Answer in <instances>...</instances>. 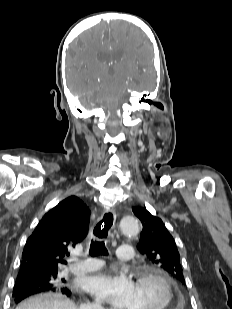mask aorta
I'll return each instance as SVG.
<instances>
[{
	"label": "aorta",
	"instance_id": "762f6f07",
	"mask_svg": "<svg viewBox=\"0 0 232 309\" xmlns=\"http://www.w3.org/2000/svg\"><path fill=\"white\" fill-rule=\"evenodd\" d=\"M121 231L128 236H135L139 233L138 220L133 216H125L120 220Z\"/></svg>",
	"mask_w": 232,
	"mask_h": 309
}]
</instances>
